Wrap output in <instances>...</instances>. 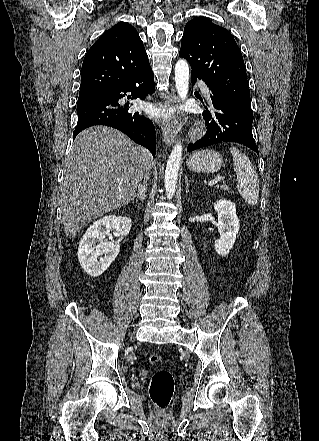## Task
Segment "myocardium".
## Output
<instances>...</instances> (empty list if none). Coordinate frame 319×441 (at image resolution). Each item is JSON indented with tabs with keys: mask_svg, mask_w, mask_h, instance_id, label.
<instances>
[{
	"mask_svg": "<svg viewBox=\"0 0 319 441\" xmlns=\"http://www.w3.org/2000/svg\"><path fill=\"white\" fill-rule=\"evenodd\" d=\"M200 132V129H195L194 133L198 134Z\"/></svg>",
	"mask_w": 319,
	"mask_h": 441,
	"instance_id": "f54148a6",
	"label": "myocardium"
}]
</instances>
